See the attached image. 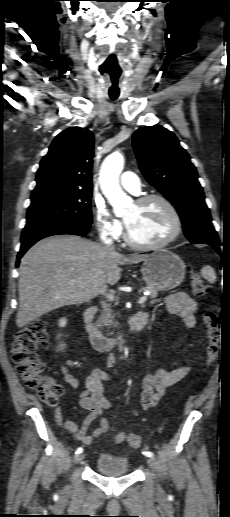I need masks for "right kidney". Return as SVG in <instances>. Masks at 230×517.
<instances>
[{
	"instance_id": "obj_1",
	"label": "right kidney",
	"mask_w": 230,
	"mask_h": 517,
	"mask_svg": "<svg viewBox=\"0 0 230 517\" xmlns=\"http://www.w3.org/2000/svg\"><path fill=\"white\" fill-rule=\"evenodd\" d=\"M66 324H67V320L65 318H62V319L59 320V326L60 327H65ZM64 347H65V344H60L59 349L63 350Z\"/></svg>"
}]
</instances>
